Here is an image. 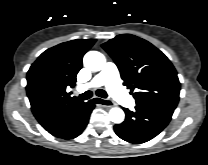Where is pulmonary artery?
Instances as JSON below:
<instances>
[{
	"mask_svg": "<svg viewBox=\"0 0 208 165\" xmlns=\"http://www.w3.org/2000/svg\"><path fill=\"white\" fill-rule=\"evenodd\" d=\"M106 86L110 95L120 104L133 106L135 101L122 87L117 67L108 62L103 70L99 72L91 82L80 86L81 90L93 87Z\"/></svg>",
	"mask_w": 208,
	"mask_h": 165,
	"instance_id": "obj_1",
	"label": "pulmonary artery"
}]
</instances>
